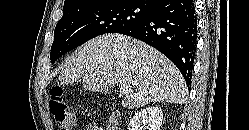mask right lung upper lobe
I'll list each match as a JSON object with an SVG mask.
<instances>
[{
  "mask_svg": "<svg viewBox=\"0 0 249 130\" xmlns=\"http://www.w3.org/2000/svg\"><path fill=\"white\" fill-rule=\"evenodd\" d=\"M109 0H65L64 1V12L80 9L85 6H89L92 4H97L101 2H105ZM136 2L147 3L153 8L156 4H158L161 0H134Z\"/></svg>",
  "mask_w": 249,
  "mask_h": 130,
  "instance_id": "right-lung-upper-lobe-1",
  "label": "right lung upper lobe"
}]
</instances>
